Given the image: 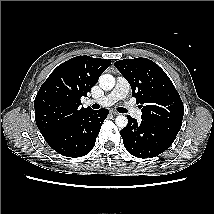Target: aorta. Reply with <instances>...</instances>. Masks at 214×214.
I'll use <instances>...</instances> for the list:
<instances>
[{
  "label": "aorta",
  "instance_id": "762f6f07",
  "mask_svg": "<svg viewBox=\"0 0 214 214\" xmlns=\"http://www.w3.org/2000/svg\"><path fill=\"white\" fill-rule=\"evenodd\" d=\"M99 85L103 90H111L115 86V78L110 74H103L99 78ZM115 124L120 128H124L128 124V119L124 115H118L115 118Z\"/></svg>",
  "mask_w": 214,
  "mask_h": 214
}]
</instances>
